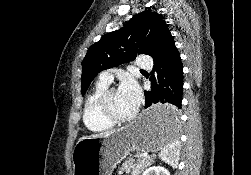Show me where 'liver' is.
<instances>
[{
    "mask_svg": "<svg viewBox=\"0 0 251 175\" xmlns=\"http://www.w3.org/2000/svg\"><path fill=\"white\" fill-rule=\"evenodd\" d=\"M110 133H114V131H105V133H93V135H83V137H80L79 141H81V139H85V137H107V135H110Z\"/></svg>",
    "mask_w": 251,
    "mask_h": 175,
    "instance_id": "liver-1",
    "label": "liver"
}]
</instances>
